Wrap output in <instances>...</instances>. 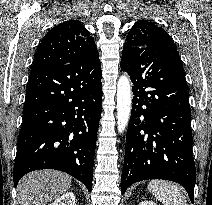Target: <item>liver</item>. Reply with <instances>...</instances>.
<instances>
[{"instance_id":"6515ba94","label":"liver","mask_w":212,"mask_h":205,"mask_svg":"<svg viewBox=\"0 0 212 205\" xmlns=\"http://www.w3.org/2000/svg\"><path fill=\"white\" fill-rule=\"evenodd\" d=\"M71 177L55 170L34 171L25 175L17 187L20 205H46L68 191Z\"/></svg>"}]
</instances>
